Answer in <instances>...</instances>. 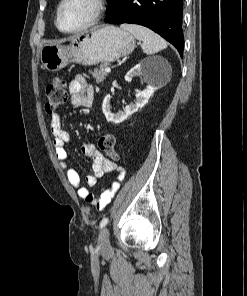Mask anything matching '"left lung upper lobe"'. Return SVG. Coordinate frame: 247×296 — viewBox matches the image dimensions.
<instances>
[{"label": "left lung upper lobe", "mask_w": 247, "mask_h": 296, "mask_svg": "<svg viewBox=\"0 0 247 296\" xmlns=\"http://www.w3.org/2000/svg\"><path fill=\"white\" fill-rule=\"evenodd\" d=\"M108 2H109V5H110L111 0H108Z\"/></svg>", "instance_id": "5c2ea615"}]
</instances>
